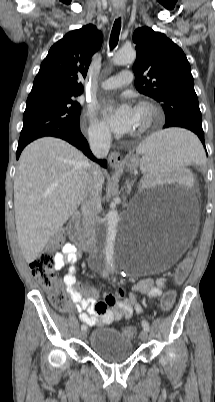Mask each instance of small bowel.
Returning <instances> with one entry per match:
<instances>
[{
	"instance_id": "obj_1",
	"label": "small bowel",
	"mask_w": 215,
	"mask_h": 402,
	"mask_svg": "<svg viewBox=\"0 0 215 402\" xmlns=\"http://www.w3.org/2000/svg\"><path fill=\"white\" fill-rule=\"evenodd\" d=\"M80 258L77 248L66 243L60 252L55 255L56 269H62L68 265V272L63 278L66 292L79 313V319L88 326H105L121 319H130L142 311V305L137 302L136 294L143 295L149 302L163 293L165 279H143L132 287V293L124 297L122 290L116 295L104 294L102 300H98L97 290L87 284L79 283L76 279V264Z\"/></svg>"
}]
</instances>
